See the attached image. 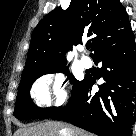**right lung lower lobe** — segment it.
<instances>
[{
  "mask_svg": "<svg viewBox=\"0 0 136 136\" xmlns=\"http://www.w3.org/2000/svg\"><path fill=\"white\" fill-rule=\"evenodd\" d=\"M93 60L102 63L99 92L92 91L95 79L85 76L67 106L50 118L70 121L98 136H131L136 117L135 36L103 48Z\"/></svg>",
  "mask_w": 136,
  "mask_h": 136,
  "instance_id": "right-lung-lower-lobe-1",
  "label": "right lung lower lobe"
}]
</instances>
